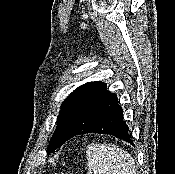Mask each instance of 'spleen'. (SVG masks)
<instances>
[{
  "label": "spleen",
  "mask_w": 175,
  "mask_h": 174,
  "mask_svg": "<svg viewBox=\"0 0 175 174\" xmlns=\"http://www.w3.org/2000/svg\"><path fill=\"white\" fill-rule=\"evenodd\" d=\"M86 156L87 174H136L134 159L114 144L92 143Z\"/></svg>",
  "instance_id": "obj_1"
}]
</instances>
